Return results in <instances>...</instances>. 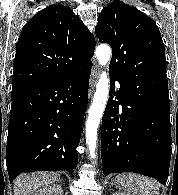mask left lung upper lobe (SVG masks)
I'll return each mask as SVG.
<instances>
[{"label":"left lung upper lobe","instance_id":"5c2ea615","mask_svg":"<svg viewBox=\"0 0 178 195\" xmlns=\"http://www.w3.org/2000/svg\"><path fill=\"white\" fill-rule=\"evenodd\" d=\"M95 33L112 47L111 75L133 91L169 101L165 47L156 23L133 6L113 1Z\"/></svg>","mask_w":178,"mask_h":195}]
</instances>
